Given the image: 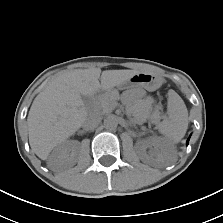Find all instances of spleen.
I'll return each instance as SVG.
<instances>
[{"instance_id": "obj_1", "label": "spleen", "mask_w": 223, "mask_h": 223, "mask_svg": "<svg viewBox=\"0 0 223 223\" xmlns=\"http://www.w3.org/2000/svg\"><path fill=\"white\" fill-rule=\"evenodd\" d=\"M168 109L171 119V134L176 139H181L188 127V111L181 97L174 91H170Z\"/></svg>"}]
</instances>
